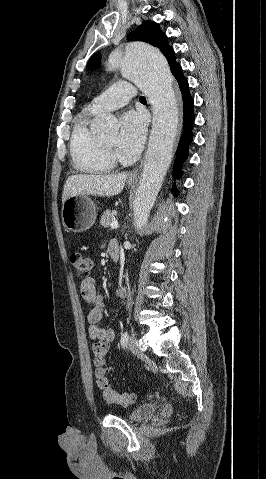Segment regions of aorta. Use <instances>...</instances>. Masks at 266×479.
I'll return each instance as SVG.
<instances>
[{
  "mask_svg": "<svg viewBox=\"0 0 266 479\" xmlns=\"http://www.w3.org/2000/svg\"><path fill=\"white\" fill-rule=\"evenodd\" d=\"M118 67L142 90L153 107L148 150L132 203L134 227L139 232L148 221L170 166L179 113L173 76L166 59L157 49L142 42L118 47L109 57L108 68ZM117 127V120L109 114H99L93 121V128L98 132L114 131Z\"/></svg>",
  "mask_w": 266,
  "mask_h": 479,
  "instance_id": "1",
  "label": "aorta"
}]
</instances>
